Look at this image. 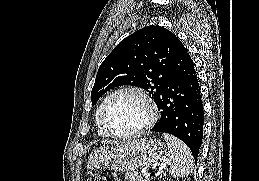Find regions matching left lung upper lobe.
I'll list each match as a JSON object with an SVG mask.
<instances>
[{"instance_id": "obj_1", "label": "left lung upper lobe", "mask_w": 259, "mask_h": 181, "mask_svg": "<svg viewBox=\"0 0 259 181\" xmlns=\"http://www.w3.org/2000/svg\"><path fill=\"white\" fill-rule=\"evenodd\" d=\"M178 38L161 26H147L123 39L102 62L91 101L108 90L133 85L148 91L155 103L175 69Z\"/></svg>"}]
</instances>
